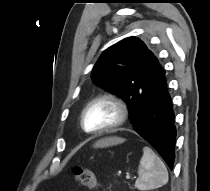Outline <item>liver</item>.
<instances>
[{
  "instance_id": "6515ba94",
  "label": "liver",
  "mask_w": 210,
  "mask_h": 191,
  "mask_svg": "<svg viewBox=\"0 0 210 191\" xmlns=\"http://www.w3.org/2000/svg\"><path fill=\"white\" fill-rule=\"evenodd\" d=\"M125 141L124 138H120V137H107V138H103L99 141H97L94 144L95 148H104V147H109V146H114V145H118L121 144Z\"/></svg>"
}]
</instances>
